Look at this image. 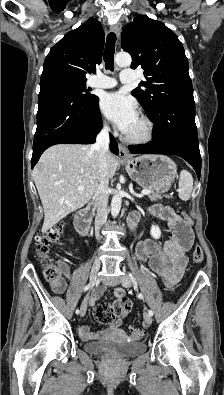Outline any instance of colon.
Instances as JSON below:
<instances>
[{"mask_svg": "<svg viewBox=\"0 0 224 395\" xmlns=\"http://www.w3.org/2000/svg\"><path fill=\"white\" fill-rule=\"evenodd\" d=\"M184 225L182 229L187 231L190 226V217L186 212L181 213ZM64 232V226H57L45 233L40 234L36 239L37 257L41 261L48 258V252L53 243L58 241ZM204 257L203 250L196 245L191 253L192 261L196 264L202 262ZM45 278L51 282H57L62 278V268L54 263H47L44 269ZM131 309V302L127 297H121L118 300L107 303H99L94 309V317L101 324H111L116 317L125 316ZM130 335L134 339L143 337L144 331L136 325L130 326Z\"/></svg>", "mask_w": 224, "mask_h": 395, "instance_id": "5ec220e1", "label": "colon"}]
</instances>
